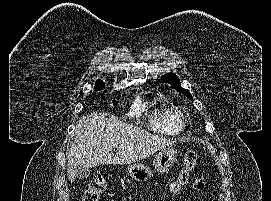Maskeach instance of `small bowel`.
Segmentation results:
<instances>
[{
	"instance_id": "small-bowel-1",
	"label": "small bowel",
	"mask_w": 271,
	"mask_h": 201,
	"mask_svg": "<svg viewBox=\"0 0 271 201\" xmlns=\"http://www.w3.org/2000/svg\"><path fill=\"white\" fill-rule=\"evenodd\" d=\"M193 188L196 190H201L204 187V180L201 177H197L192 182Z\"/></svg>"
}]
</instances>
